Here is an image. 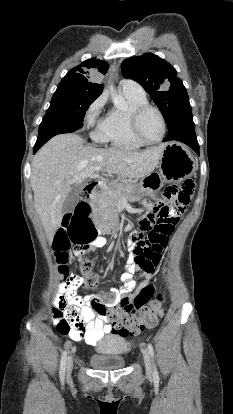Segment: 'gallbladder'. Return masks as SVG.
I'll use <instances>...</instances> for the list:
<instances>
[{"instance_id":"bac80fb5","label":"gallbladder","mask_w":233,"mask_h":414,"mask_svg":"<svg viewBox=\"0 0 233 414\" xmlns=\"http://www.w3.org/2000/svg\"><path fill=\"white\" fill-rule=\"evenodd\" d=\"M84 186L85 182H80L72 186L71 191L68 194L62 206L63 214H68L74 210V208L79 202V194L83 190Z\"/></svg>"}]
</instances>
